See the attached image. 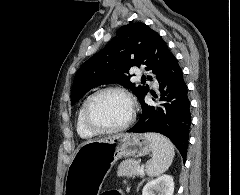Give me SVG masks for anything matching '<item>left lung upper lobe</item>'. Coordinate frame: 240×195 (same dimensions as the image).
<instances>
[{
  "instance_id": "5c2ea615",
  "label": "left lung upper lobe",
  "mask_w": 240,
  "mask_h": 195,
  "mask_svg": "<svg viewBox=\"0 0 240 195\" xmlns=\"http://www.w3.org/2000/svg\"><path fill=\"white\" fill-rule=\"evenodd\" d=\"M119 43L113 38L100 52L92 56L77 71L71 92V104L80 100L90 89L118 83L132 90L141 105L149 86L130 82L129 70L144 65L156 76L172 53L164 40L143 23H130L117 31ZM145 77V76H144ZM147 79H151L150 76Z\"/></svg>"
}]
</instances>
